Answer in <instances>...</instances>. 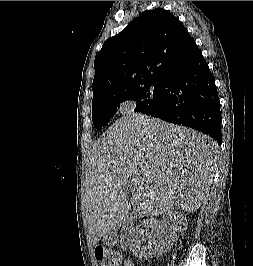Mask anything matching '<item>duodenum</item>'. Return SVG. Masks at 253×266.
I'll return each mask as SVG.
<instances>
[{"instance_id":"1","label":"duodenum","mask_w":253,"mask_h":266,"mask_svg":"<svg viewBox=\"0 0 253 266\" xmlns=\"http://www.w3.org/2000/svg\"><path fill=\"white\" fill-rule=\"evenodd\" d=\"M129 233H130V227H126V237L125 238H123L124 239V241H128L129 240ZM113 235H107V241L108 242H112V240H113Z\"/></svg>"}]
</instances>
